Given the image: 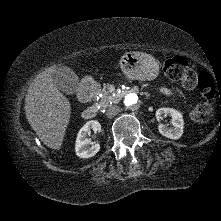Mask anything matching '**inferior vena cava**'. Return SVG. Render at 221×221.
Returning <instances> with one entry per match:
<instances>
[{
  "mask_svg": "<svg viewBox=\"0 0 221 221\" xmlns=\"http://www.w3.org/2000/svg\"><path fill=\"white\" fill-rule=\"evenodd\" d=\"M118 112H119V107H118L117 105H113V106H111V107L107 110L106 116H107L108 118H112V117H114L115 115H117Z\"/></svg>",
  "mask_w": 221,
  "mask_h": 221,
  "instance_id": "602c4592",
  "label": "inferior vena cava"
}]
</instances>
